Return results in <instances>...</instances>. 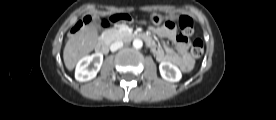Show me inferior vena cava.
Returning <instances> with one entry per match:
<instances>
[{
  "mask_svg": "<svg viewBox=\"0 0 276 120\" xmlns=\"http://www.w3.org/2000/svg\"><path fill=\"white\" fill-rule=\"evenodd\" d=\"M122 46H123V43H122L121 41H117V42H114L113 44H111L110 50H111L112 52H115V51H117L118 49H120Z\"/></svg>",
  "mask_w": 276,
  "mask_h": 120,
  "instance_id": "obj_1",
  "label": "inferior vena cava"
}]
</instances>
